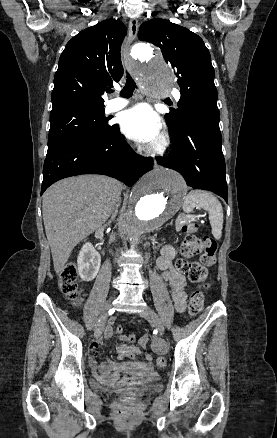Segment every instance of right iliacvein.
<instances>
[{"label":"right iliac vein","instance_id":"1","mask_svg":"<svg viewBox=\"0 0 277 438\" xmlns=\"http://www.w3.org/2000/svg\"><path fill=\"white\" fill-rule=\"evenodd\" d=\"M111 307H112V302H111V300H109L104 305V307L102 309V312H101V315H100V320H99V322L97 324V327H96L95 333H94L95 338H99L101 336L102 331H103V327L105 325V322H106L108 313L111 310Z\"/></svg>","mask_w":277,"mask_h":438}]
</instances>
